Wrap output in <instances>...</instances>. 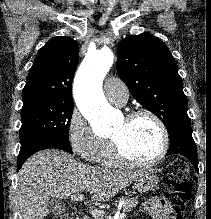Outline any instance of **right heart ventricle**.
I'll use <instances>...</instances> for the list:
<instances>
[{"label":"right heart ventricle","mask_w":211,"mask_h":219,"mask_svg":"<svg viewBox=\"0 0 211 219\" xmlns=\"http://www.w3.org/2000/svg\"><path fill=\"white\" fill-rule=\"evenodd\" d=\"M97 162L105 167H114L119 165V161L116 159L111 143L107 145L105 150L100 154Z\"/></svg>","instance_id":"obj_1"}]
</instances>
